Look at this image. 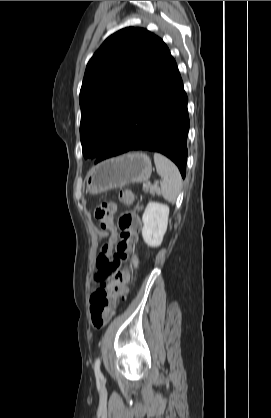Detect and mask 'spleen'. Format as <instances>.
Returning <instances> with one entry per match:
<instances>
[{
  "label": "spleen",
  "mask_w": 271,
  "mask_h": 418,
  "mask_svg": "<svg viewBox=\"0 0 271 418\" xmlns=\"http://www.w3.org/2000/svg\"><path fill=\"white\" fill-rule=\"evenodd\" d=\"M154 162L157 173L162 178L160 192L164 199L173 203L176 201L182 188L180 172L171 160L159 153L154 154Z\"/></svg>",
  "instance_id": "3e777b00"
}]
</instances>
